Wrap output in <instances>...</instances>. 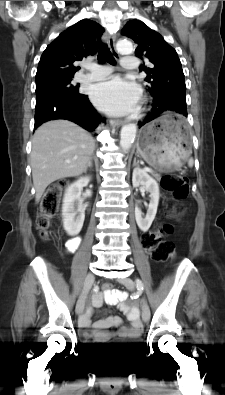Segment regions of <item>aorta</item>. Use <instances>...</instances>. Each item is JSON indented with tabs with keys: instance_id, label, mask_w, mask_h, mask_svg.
I'll use <instances>...</instances> for the list:
<instances>
[{
	"instance_id": "obj_1",
	"label": "aorta",
	"mask_w": 225,
	"mask_h": 395,
	"mask_svg": "<svg viewBox=\"0 0 225 395\" xmlns=\"http://www.w3.org/2000/svg\"><path fill=\"white\" fill-rule=\"evenodd\" d=\"M117 51L121 54H132L134 52L133 45L127 39H121L116 44ZM137 127L135 124H126L120 132V146L124 150L131 148L136 137Z\"/></svg>"
}]
</instances>
